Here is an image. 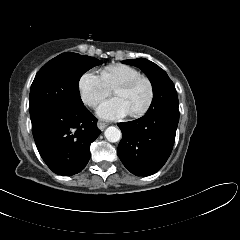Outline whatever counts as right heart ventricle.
Returning <instances> with one entry per match:
<instances>
[{
	"instance_id": "1",
	"label": "right heart ventricle",
	"mask_w": 240,
	"mask_h": 240,
	"mask_svg": "<svg viewBox=\"0 0 240 240\" xmlns=\"http://www.w3.org/2000/svg\"><path fill=\"white\" fill-rule=\"evenodd\" d=\"M100 76L111 89H114L125 81L141 76V73L130 65L113 64L105 67L101 71Z\"/></svg>"
}]
</instances>
